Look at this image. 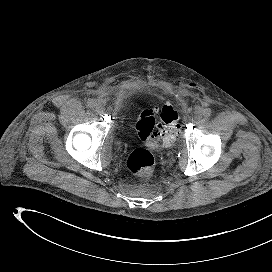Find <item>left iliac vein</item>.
Masks as SVG:
<instances>
[{"mask_svg": "<svg viewBox=\"0 0 272 272\" xmlns=\"http://www.w3.org/2000/svg\"><path fill=\"white\" fill-rule=\"evenodd\" d=\"M203 110H204V109H203L202 107H198V108L196 109V114H195L194 116L190 117V120H191L192 122L198 120V119L202 116Z\"/></svg>", "mask_w": 272, "mask_h": 272, "instance_id": "4c4485c4", "label": "left iliac vein"}]
</instances>
